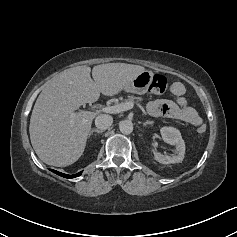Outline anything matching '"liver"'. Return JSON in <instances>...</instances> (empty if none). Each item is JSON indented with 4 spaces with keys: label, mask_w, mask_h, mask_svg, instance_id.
Wrapping results in <instances>:
<instances>
[{
    "label": "liver",
    "mask_w": 237,
    "mask_h": 237,
    "mask_svg": "<svg viewBox=\"0 0 237 237\" xmlns=\"http://www.w3.org/2000/svg\"><path fill=\"white\" fill-rule=\"evenodd\" d=\"M139 65L107 63L91 68L67 69L48 81L39 94L30 119V140L46 164L65 167L83 154L96 113L79 111L85 103L96 102L100 93L113 96L124 90L138 74Z\"/></svg>",
    "instance_id": "1"
}]
</instances>
